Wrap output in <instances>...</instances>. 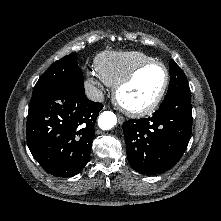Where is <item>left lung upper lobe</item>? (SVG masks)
<instances>
[{
	"instance_id": "left-lung-upper-lobe-1",
	"label": "left lung upper lobe",
	"mask_w": 221,
	"mask_h": 221,
	"mask_svg": "<svg viewBox=\"0 0 221 221\" xmlns=\"http://www.w3.org/2000/svg\"><path fill=\"white\" fill-rule=\"evenodd\" d=\"M169 68L170 84L165 99L182 90H189L187 78L184 72L173 60H170Z\"/></svg>"
}]
</instances>
